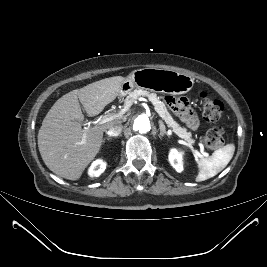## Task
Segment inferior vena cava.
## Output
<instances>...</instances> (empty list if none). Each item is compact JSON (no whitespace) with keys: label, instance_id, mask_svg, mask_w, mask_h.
<instances>
[{"label":"inferior vena cava","instance_id":"obj_1","mask_svg":"<svg viewBox=\"0 0 267 267\" xmlns=\"http://www.w3.org/2000/svg\"><path fill=\"white\" fill-rule=\"evenodd\" d=\"M123 126L122 124H114L112 125L108 131H106L108 136H118L122 132Z\"/></svg>","mask_w":267,"mask_h":267}]
</instances>
